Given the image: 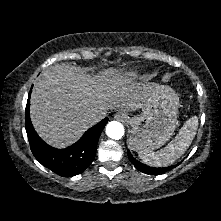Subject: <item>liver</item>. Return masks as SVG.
<instances>
[{"mask_svg": "<svg viewBox=\"0 0 221 221\" xmlns=\"http://www.w3.org/2000/svg\"><path fill=\"white\" fill-rule=\"evenodd\" d=\"M149 85L130 74L109 68L92 77L68 64L50 66L37 78L31 94L30 116L38 135L49 145L65 148L92 124L91 114L143 106Z\"/></svg>", "mask_w": 221, "mask_h": 221, "instance_id": "obj_1", "label": "liver"}]
</instances>
